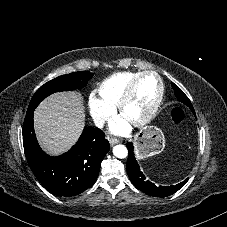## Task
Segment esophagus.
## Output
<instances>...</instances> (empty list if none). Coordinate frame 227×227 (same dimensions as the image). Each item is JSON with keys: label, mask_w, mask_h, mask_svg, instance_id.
<instances>
[{"label": "esophagus", "mask_w": 227, "mask_h": 227, "mask_svg": "<svg viewBox=\"0 0 227 227\" xmlns=\"http://www.w3.org/2000/svg\"><path fill=\"white\" fill-rule=\"evenodd\" d=\"M120 141H119V139H117V138H109V143L111 144V145H115V144H117V143H119Z\"/></svg>", "instance_id": "esophagus-1"}]
</instances>
